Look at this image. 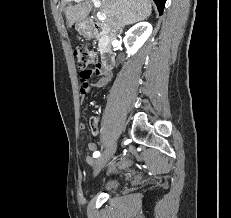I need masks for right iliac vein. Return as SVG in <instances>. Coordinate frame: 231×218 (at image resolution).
I'll return each instance as SVG.
<instances>
[{
	"label": "right iliac vein",
	"instance_id": "right-iliac-vein-1",
	"mask_svg": "<svg viewBox=\"0 0 231 218\" xmlns=\"http://www.w3.org/2000/svg\"><path fill=\"white\" fill-rule=\"evenodd\" d=\"M116 148H117V144L116 143L112 144L96 160V163L94 166V176H96L101 171V169L109 162V160L114 155Z\"/></svg>",
	"mask_w": 231,
	"mask_h": 218
}]
</instances>
